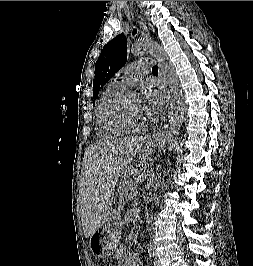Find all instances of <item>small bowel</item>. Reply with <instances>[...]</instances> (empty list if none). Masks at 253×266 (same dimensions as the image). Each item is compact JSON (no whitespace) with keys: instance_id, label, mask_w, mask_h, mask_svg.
<instances>
[{"instance_id":"obj_1","label":"small bowel","mask_w":253,"mask_h":266,"mask_svg":"<svg viewBox=\"0 0 253 266\" xmlns=\"http://www.w3.org/2000/svg\"><path fill=\"white\" fill-rule=\"evenodd\" d=\"M115 266H141V264L134 254L120 251L117 253V263Z\"/></svg>"}]
</instances>
